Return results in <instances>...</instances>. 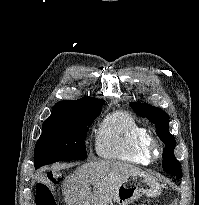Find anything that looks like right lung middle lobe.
<instances>
[{"mask_svg": "<svg viewBox=\"0 0 199 205\" xmlns=\"http://www.w3.org/2000/svg\"><path fill=\"white\" fill-rule=\"evenodd\" d=\"M103 103L92 101L53 108L51 116L42 125V134L35 146V168L58 161L85 159L84 140Z\"/></svg>", "mask_w": 199, "mask_h": 205, "instance_id": "obj_1", "label": "right lung middle lobe"}]
</instances>
